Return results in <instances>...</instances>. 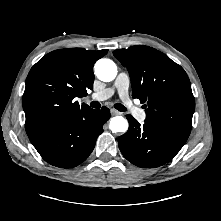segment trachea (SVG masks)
I'll return each mask as SVG.
<instances>
[{"label": "trachea", "instance_id": "obj_1", "mask_svg": "<svg viewBox=\"0 0 221 221\" xmlns=\"http://www.w3.org/2000/svg\"><path fill=\"white\" fill-rule=\"evenodd\" d=\"M100 106H101V104L97 101H92L91 102V107H93V108H100ZM114 107L120 112H125L127 110V108L125 106H123L122 104H120V103H116L114 105Z\"/></svg>", "mask_w": 221, "mask_h": 221}]
</instances>
